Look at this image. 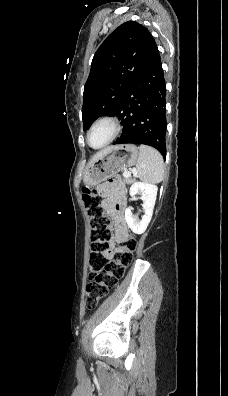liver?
<instances>
[{"label": "liver", "mask_w": 228, "mask_h": 396, "mask_svg": "<svg viewBox=\"0 0 228 396\" xmlns=\"http://www.w3.org/2000/svg\"><path fill=\"white\" fill-rule=\"evenodd\" d=\"M114 146L108 147L100 152H98L90 161L89 165L92 164L93 162H95L100 156H102L103 154H105L106 152H108L109 150H111Z\"/></svg>", "instance_id": "1"}]
</instances>
